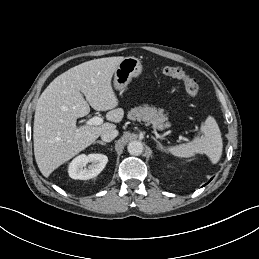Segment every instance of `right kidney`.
Segmentation results:
<instances>
[{
    "label": "right kidney",
    "instance_id": "1",
    "mask_svg": "<svg viewBox=\"0 0 259 259\" xmlns=\"http://www.w3.org/2000/svg\"><path fill=\"white\" fill-rule=\"evenodd\" d=\"M108 157L93 153L79 155L69 164L68 173L72 179L87 180L96 177L106 166ZM88 163H91L88 165Z\"/></svg>",
    "mask_w": 259,
    "mask_h": 259
}]
</instances>
